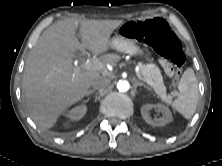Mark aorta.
Listing matches in <instances>:
<instances>
[{
  "mask_svg": "<svg viewBox=\"0 0 222 166\" xmlns=\"http://www.w3.org/2000/svg\"><path fill=\"white\" fill-rule=\"evenodd\" d=\"M130 88V84L128 81L126 80H120L118 83H117V89L120 91V92H126L128 91Z\"/></svg>",
  "mask_w": 222,
  "mask_h": 166,
  "instance_id": "aorta-1",
  "label": "aorta"
}]
</instances>
